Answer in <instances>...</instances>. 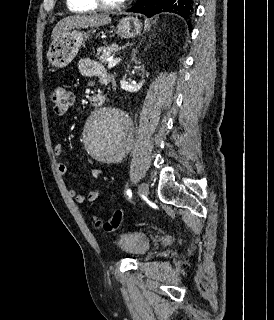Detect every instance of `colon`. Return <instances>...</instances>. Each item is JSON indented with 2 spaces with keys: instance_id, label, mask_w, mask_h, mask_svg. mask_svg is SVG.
<instances>
[{
  "instance_id": "5ec220e1",
  "label": "colon",
  "mask_w": 274,
  "mask_h": 320,
  "mask_svg": "<svg viewBox=\"0 0 274 320\" xmlns=\"http://www.w3.org/2000/svg\"><path fill=\"white\" fill-rule=\"evenodd\" d=\"M50 99L54 105V111L58 115H63L73 103V97L70 91L65 87L57 86L51 90ZM123 212L120 209H115L111 218L108 221L96 219L95 226L102 229L104 232H114L121 224Z\"/></svg>"
}]
</instances>
